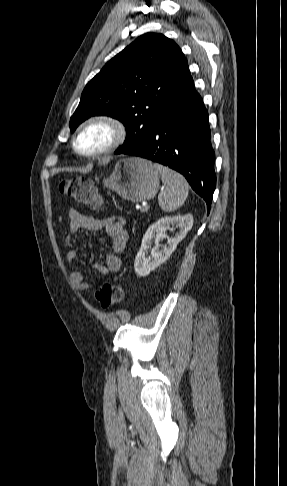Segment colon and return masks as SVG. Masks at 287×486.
Returning <instances> with one entry per match:
<instances>
[{
  "label": "colon",
  "instance_id": "1",
  "mask_svg": "<svg viewBox=\"0 0 287 486\" xmlns=\"http://www.w3.org/2000/svg\"><path fill=\"white\" fill-rule=\"evenodd\" d=\"M59 190L63 195L93 209H99L102 206L100 192L91 179L74 177L62 180L59 183ZM123 296V288L114 284H104L95 293L102 308H110L118 304L122 301Z\"/></svg>",
  "mask_w": 287,
  "mask_h": 486
}]
</instances>
